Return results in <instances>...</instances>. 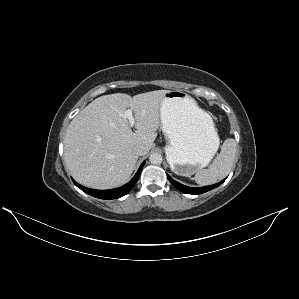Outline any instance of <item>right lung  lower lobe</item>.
Wrapping results in <instances>:
<instances>
[{
    "mask_svg": "<svg viewBox=\"0 0 299 299\" xmlns=\"http://www.w3.org/2000/svg\"><path fill=\"white\" fill-rule=\"evenodd\" d=\"M144 163L145 162H143L141 164V166L139 167V169H138L137 173L135 174V176L127 184H125V185H123L119 188H116V189L94 190V189L86 188V187L78 184L74 180H73V182L82 191H84L85 193H87L89 195H92L96 198H100V199H117V198H120V197L126 195L131 190V188L134 186V184L137 182V180L140 176V173L142 171Z\"/></svg>",
    "mask_w": 299,
    "mask_h": 299,
    "instance_id": "1",
    "label": "right lung lower lobe"
}]
</instances>
